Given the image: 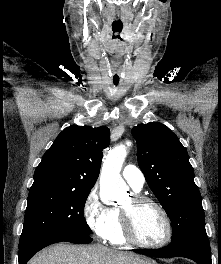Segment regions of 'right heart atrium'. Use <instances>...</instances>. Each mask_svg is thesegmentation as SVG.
I'll return each instance as SVG.
<instances>
[{"mask_svg":"<svg viewBox=\"0 0 221 264\" xmlns=\"http://www.w3.org/2000/svg\"><path fill=\"white\" fill-rule=\"evenodd\" d=\"M83 217L89 229L101 239H107L114 222L112 208L102 203L96 187L87 194L83 203Z\"/></svg>","mask_w":221,"mask_h":264,"instance_id":"d8ad5b80","label":"right heart atrium"}]
</instances>
